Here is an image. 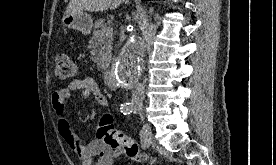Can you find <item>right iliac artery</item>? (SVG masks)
<instances>
[{"label":"right iliac artery","instance_id":"82829eb1","mask_svg":"<svg viewBox=\"0 0 276 165\" xmlns=\"http://www.w3.org/2000/svg\"><path fill=\"white\" fill-rule=\"evenodd\" d=\"M133 109L134 108H133V106H132L131 103H124L120 107L121 113L123 115H129V114H131L132 111H133ZM140 135H141L142 142H143L144 146H146L147 143H148V139H147L145 127L143 128V130H141V134Z\"/></svg>","mask_w":276,"mask_h":165}]
</instances>
